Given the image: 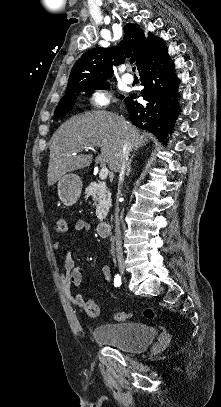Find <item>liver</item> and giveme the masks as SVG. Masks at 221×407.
Here are the masks:
<instances>
[{
	"label": "liver",
	"instance_id": "obj_1",
	"mask_svg": "<svg viewBox=\"0 0 221 407\" xmlns=\"http://www.w3.org/2000/svg\"><path fill=\"white\" fill-rule=\"evenodd\" d=\"M148 133H140L124 118L107 111H92L76 115L65 121L53 134L48 166V186L60 180L68 172L90 165L93 155L83 154L99 147L101 153L96 163H107L117 172L123 142L128 138L131 149L137 150L148 142ZM75 154V155H73Z\"/></svg>",
	"mask_w": 221,
	"mask_h": 407
}]
</instances>
